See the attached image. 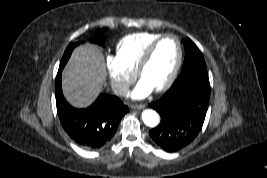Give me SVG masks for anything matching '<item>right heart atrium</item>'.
I'll list each match as a JSON object with an SVG mask.
<instances>
[{
  "mask_svg": "<svg viewBox=\"0 0 267 178\" xmlns=\"http://www.w3.org/2000/svg\"><path fill=\"white\" fill-rule=\"evenodd\" d=\"M105 65L112 90L117 95H123L134 81L135 73L126 69L116 57L111 55L106 56Z\"/></svg>",
  "mask_w": 267,
  "mask_h": 178,
  "instance_id": "right-heart-atrium-1",
  "label": "right heart atrium"
}]
</instances>
